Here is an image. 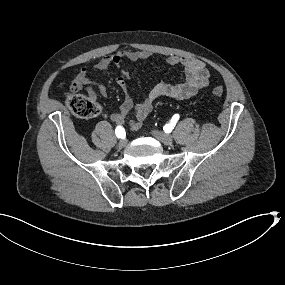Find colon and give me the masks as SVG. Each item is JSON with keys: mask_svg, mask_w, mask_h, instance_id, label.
<instances>
[{"mask_svg": "<svg viewBox=\"0 0 285 285\" xmlns=\"http://www.w3.org/2000/svg\"><path fill=\"white\" fill-rule=\"evenodd\" d=\"M223 93V88L220 86L212 90V95L215 99L221 98ZM66 105L75 116L82 119L95 118L101 113V107L95 100L76 93L67 97Z\"/></svg>", "mask_w": 285, "mask_h": 285, "instance_id": "5ec220e1", "label": "colon"}]
</instances>
